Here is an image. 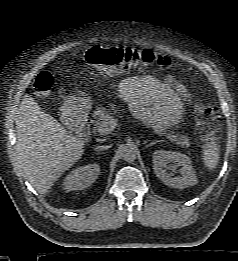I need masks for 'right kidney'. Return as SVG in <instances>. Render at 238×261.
<instances>
[{
    "label": "right kidney",
    "mask_w": 238,
    "mask_h": 261,
    "mask_svg": "<svg viewBox=\"0 0 238 261\" xmlns=\"http://www.w3.org/2000/svg\"><path fill=\"white\" fill-rule=\"evenodd\" d=\"M99 173L100 168L98 164H88L73 169L64 179L63 188L67 192L83 190L94 183Z\"/></svg>",
    "instance_id": "right-kidney-1"
}]
</instances>
